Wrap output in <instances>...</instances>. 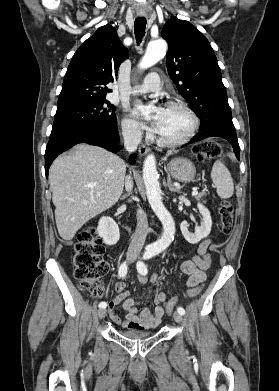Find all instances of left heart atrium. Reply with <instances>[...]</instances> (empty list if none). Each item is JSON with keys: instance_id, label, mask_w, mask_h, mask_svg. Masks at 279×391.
<instances>
[{"instance_id": "39dd6f15", "label": "left heart atrium", "mask_w": 279, "mask_h": 391, "mask_svg": "<svg viewBox=\"0 0 279 391\" xmlns=\"http://www.w3.org/2000/svg\"><path fill=\"white\" fill-rule=\"evenodd\" d=\"M165 108L160 106L156 109L155 113H154V116L152 118V124H153V127L155 128L156 131L159 130L160 128V125H161V122H162V119L165 115ZM135 113L136 115L138 116H143L144 113L141 109H136L135 110Z\"/></svg>"}]
</instances>
